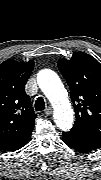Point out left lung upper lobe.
Returning <instances> with one entry per match:
<instances>
[{
    "label": "left lung upper lobe",
    "instance_id": "obj_1",
    "mask_svg": "<svg viewBox=\"0 0 101 180\" xmlns=\"http://www.w3.org/2000/svg\"><path fill=\"white\" fill-rule=\"evenodd\" d=\"M58 68L67 81L76 121L71 130L101 137V64L91 55L75 52L60 59Z\"/></svg>",
    "mask_w": 101,
    "mask_h": 180
}]
</instances>
